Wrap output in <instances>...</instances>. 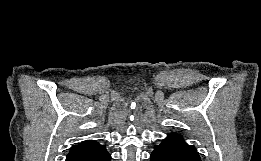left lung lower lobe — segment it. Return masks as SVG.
Masks as SVG:
<instances>
[{
	"mask_svg": "<svg viewBox=\"0 0 261 161\" xmlns=\"http://www.w3.org/2000/svg\"><path fill=\"white\" fill-rule=\"evenodd\" d=\"M151 161H201L193 145L187 144L180 135L169 134L161 144L155 145Z\"/></svg>",
	"mask_w": 261,
	"mask_h": 161,
	"instance_id": "0a47b994",
	"label": "left lung lower lobe"
}]
</instances>
